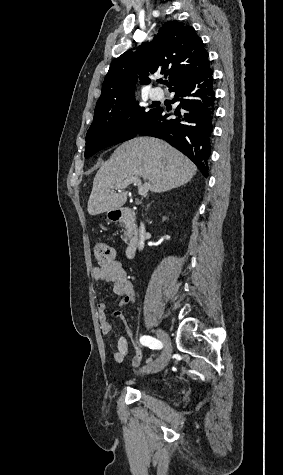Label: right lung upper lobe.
<instances>
[{
	"instance_id": "1",
	"label": "right lung upper lobe",
	"mask_w": 283,
	"mask_h": 475,
	"mask_svg": "<svg viewBox=\"0 0 283 475\" xmlns=\"http://www.w3.org/2000/svg\"><path fill=\"white\" fill-rule=\"evenodd\" d=\"M209 68L208 53L194 28L178 21L166 22L153 41L143 43L135 53H123L111 63L96 108L133 99L137 80L148 84L147 76L155 72L168 75L170 89Z\"/></svg>"
}]
</instances>
